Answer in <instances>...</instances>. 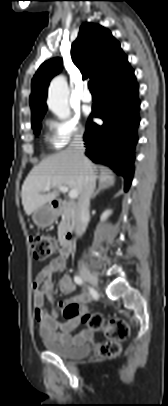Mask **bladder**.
Returning a JSON list of instances; mask_svg holds the SVG:
<instances>
[{
    "label": "bladder",
    "mask_w": 168,
    "mask_h": 406,
    "mask_svg": "<svg viewBox=\"0 0 168 406\" xmlns=\"http://www.w3.org/2000/svg\"><path fill=\"white\" fill-rule=\"evenodd\" d=\"M43 344L50 353L66 359H79L90 353V346L87 342H76L66 345L53 342L43 337Z\"/></svg>",
    "instance_id": "1"
}]
</instances>
